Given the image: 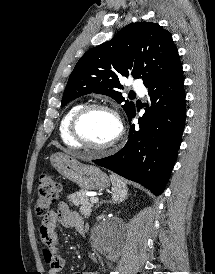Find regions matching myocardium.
Segmentation results:
<instances>
[{"instance_id": "1", "label": "myocardium", "mask_w": 215, "mask_h": 274, "mask_svg": "<svg viewBox=\"0 0 215 274\" xmlns=\"http://www.w3.org/2000/svg\"><path fill=\"white\" fill-rule=\"evenodd\" d=\"M94 110H102L110 113L114 116L116 119L117 125H118V132L117 135L113 140L110 142L104 144V145H94L90 143L88 140L84 138L80 131V124L83 118ZM70 133L73 137V139L82 147H85L87 149H90L95 152H106L113 147H115L122 139L124 135V125L122 122V119L116 109L113 107L103 104V103H91V104H85L83 105L73 116L71 123H70Z\"/></svg>"}]
</instances>
